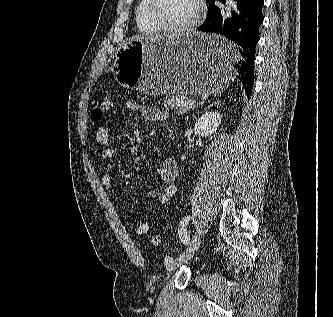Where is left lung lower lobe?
<instances>
[{"label":"left lung lower lobe","instance_id":"1","mask_svg":"<svg viewBox=\"0 0 333 317\" xmlns=\"http://www.w3.org/2000/svg\"><path fill=\"white\" fill-rule=\"evenodd\" d=\"M225 3V0H219ZM264 0H232L226 8L220 9L212 1L203 24L197 29L203 32L221 34L242 47L240 53L223 47L218 54L235 68L249 98L254 77L255 46L259 40V28L263 22Z\"/></svg>","mask_w":333,"mask_h":317}]
</instances>
